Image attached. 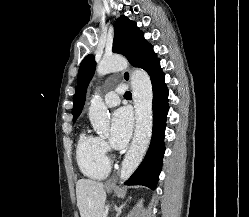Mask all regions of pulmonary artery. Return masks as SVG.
Wrapping results in <instances>:
<instances>
[{"label": "pulmonary artery", "mask_w": 249, "mask_h": 217, "mask_svg": "<svg viewBox=\"0 0 249 217\" xmlns=\"http://www.w3.org/2000/svg\"><path fill=\"white\" fill-rule=\"evenodd\" d=\"M123 91H124V87H123V85H120L115 90L108 92L105 95V99H104L105 104L109 107L116 106L120 101V95L123 93Z\"/></svg>", "instance_id": "1"}]
</instances>
